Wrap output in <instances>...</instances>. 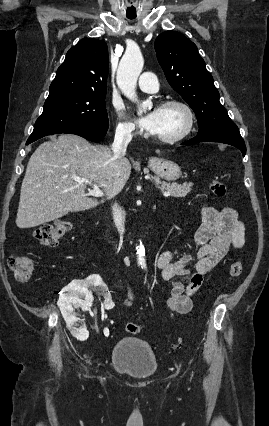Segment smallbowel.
Returning <instances> with one entry per match:
<instances>
[{"label":"small bowel","instance_id":"c3829d8e","mask_svg":"<svg viewBox=\"0 0 269 426\" xmlns=\"http://www.w3.org/2000/svg\"><path fill=\"white\" fill-rule=\"evenodd\" d=\"M196 259L191 252L165 250L158 254L156 265L161 278L172 283V294L165 301L166 308L179 314L191 311L193 295L200 289L203 277L209 274L231 249L245 244V227L235 209L225 206L215 209L204 206L201 224L194 236ZM124 305H134L136 296L129 284ZM105 333L107 331L105 330Z\"/></svg>","mask_w":269,"mask_h":426}]
</instances>
